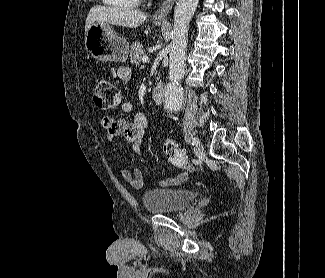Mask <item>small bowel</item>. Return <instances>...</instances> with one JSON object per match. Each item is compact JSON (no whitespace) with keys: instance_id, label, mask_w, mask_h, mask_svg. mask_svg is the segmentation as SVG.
<instances>
[{"instance_id":"small-bowel-1","label":"small bowel","mask_w":325,"mask_h":278,"mask_svg":"<svg viewBox=\"0 0 325 278\" xmlns=\"http://www.w3.org/2000/svg\"><path fill=\"white\" fill-rule=\"evenodd\" d=\"M118 77L124 81L131 79V72L129 68L121 66L117 71ZM134 109L132 100H125L120 105V110L123 113H130ZM102 127L105 131L106 138L109 142L116 144L119 137L124 139L132 145L133 151L142 161H148L140 152V142L147 128V117L143 112H136L133 117L128 120L125 118L114 119L112 116H104L102 118ZM123 179L129 182L136 188H142L149 178L143 174L139 168H134L133 171L123 169L121 172ZM187 179V174L183 173L174 178H167L160 181L163 187L182 182Z\"/></svg>"}]
</instances>
